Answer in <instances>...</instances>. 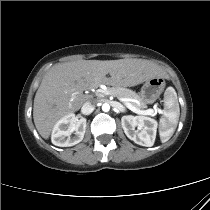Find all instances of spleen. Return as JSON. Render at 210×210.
Here are the masks:
<instances>
[{
    "mask_svg": "<svg viewBox=\"0 0 210 210\" xmlns=\"http://www.w3.org/2000/svg\"><path fill=\"white\" fill-rule=\"evenodd\" d=\"M164 99V114L159 121V135L163 143L174 134L180 115L177 93L173 87L166 89Z\"/></svg>",
    "mask_w": 210,
    "mask_h": 210,
    "instance_id": "1",
    "label": "spleen"
}]
</instances>
